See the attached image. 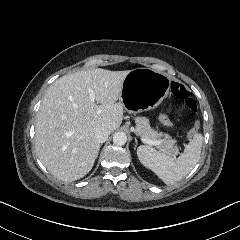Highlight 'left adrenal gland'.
Here are the masks:
<instances>
[{"instance_id":"a2214340","label":"left adrenal gland","mask_w":240,"mask_h":240,"mask_svg":"<svg viewBox=\"0 0 240 240\" xmlns=\"http://www.w3.org/2000/svg\"><path fill=\"white\" fill-rule=\"evenodd\" d=\"M134 139H135V143H136L134 149H136V147H137V145H138V140H137L136 137H134Z\"/></svg>"}]
</instances>
